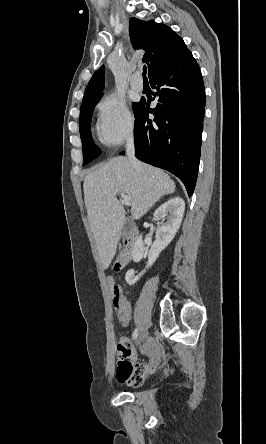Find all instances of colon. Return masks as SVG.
Here are the masks:
<instances>
[{
	"instance_id": "obj_1",
	"label": "colon",
	"mask_w": 266,
	"mask_h": 444,
	"mask_svg": "<svg viewBox=\"0 0 266 444\" xmlns=\"http://www.w3.org/2000/svg\"><path fill=\"white\" fill-rule=\"evenodd\" d=\"M124 299L125 297L122 287L118 284H114L112 288V303L114 308H119L120 306H122Z\"/></svg>"
}]
</instances>
